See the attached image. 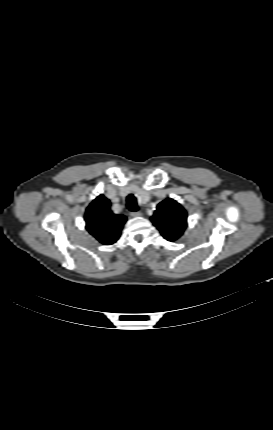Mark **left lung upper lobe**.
<instances>
[{
	"label": "left lung upper lobe",
	"mask_w": 273,
	"mask_h": 430,
	"mask_svg": "<svg viewBox=\"0 0 273 430\" xmlns=\"http://www.w3.org/2000/svg\"><path fill=\"white\" fill-rule=\"evenodd\" d=\"M151 221L166 240L174 241L186 228L187 213L179 203L168 198L158 204Z\"/></svg>",
	"instance_id": "obj_1"
}]
</instances>
